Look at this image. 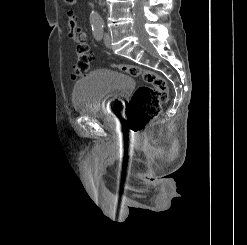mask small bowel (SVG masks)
I'll return each mask as SVG.
<instances>
[{"label": "small bowel", "instance_id": "small-bowel-1", "mask_svg": "<svg viewBox=\"0 0 247 245\" xmlns=\"http://www.w3.org/2000/svg\"><path fill=\"white\" fill-rule=\"evenodd\" d=\"M77 34L80 38L85 39V34L79 29L77 25V16L74 12H69L68 20V35L71 39H74V35Z\"/></svg>", "mask_w": 247, "mask_h": 245}]
</instances>
